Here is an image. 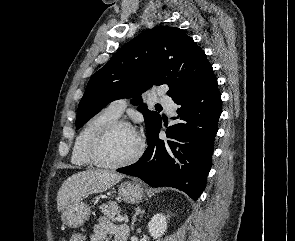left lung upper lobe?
Returning a JSON list of instances; mask_svg holds the SVG:
<instances>
[{
	"instance_id": "1",
	"label": "left lung upper lobe",
	"mask_w": 295,
	"mask_h": 241,
	"mask_svg": "<svg viewBox=\"0 0 295 241\" xmlns=\"http://www.w3.org/2000/svg\"><path fill=\"white\" fill-rule=\"evenodd\" d=\"M213 75L204 51L175 27L146 30L119 49L87 84L79 103L76 127H82L108 103L136 97L133 104L143 113L147 140L161 124L158 112L142 104L140 95L153 85H168L173 100Z\"/></svg>"
}]
</instances>
